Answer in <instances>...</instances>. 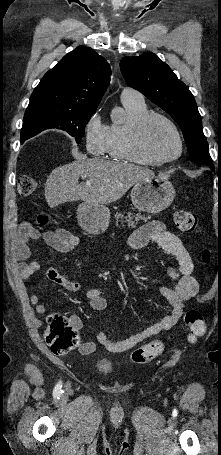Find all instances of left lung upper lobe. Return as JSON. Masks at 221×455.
<instances>
[{
  "mask_svg": "<svg viewBox=\"0 0 221 455\" xmlns=\"http://www.w3.org/2000/svg\"><path fill=\"white\" fill-rule=\"evenodd\" d=\"M120 69L130 87L140 91L177 122L190 159L198 164L212 163L195 99L171 68L154 53L146 52L122 58Z\"/></svg>",
  "mask_w": 221,
  "mask_h": 455,
  "instance_id": "1",
  "label": "left lung upper lobe"
}]
</instances>
